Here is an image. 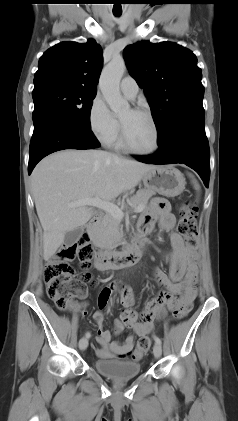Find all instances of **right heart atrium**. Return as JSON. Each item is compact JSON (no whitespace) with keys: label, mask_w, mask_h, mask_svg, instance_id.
Masks as SVG:
<instances>
[{"label":"right heart atrium","mask_w":238,"mask_h":421,"mask_svg":"<svg viewBox=\"0 0 238 421\" xmlns=\"http://www.w3.org/2000/svg\"><path fill=\"white\" fill-rule=\"evenodd\" d=\"M88 119L93 134L101 142L110 144L118 136L119 122L100 96L92 100Z\"/></svg>","instance_id":"obj_1"}]
</instances>
